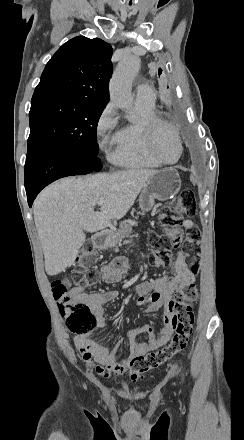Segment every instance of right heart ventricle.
Instances as JSON below:
<instances>
[{
    "label": "right heart ventricle",
    "mask_w": 244,
    "mask_h": 440,
    "mask_svg": "<svg viewBox=\"0 0 244 440\" xmlns=\"http://www.w3.org/2000/svg\"><path fill=\"white\" fill-rule=\"evenodd\" d=\"M134 112L136 119L126 123L118 132L111 135L110 144L114 146L112 159L116 164L127 168H157L161 164L147 145L150 142L147 140V133L152 131L144 128L146 125L149 127L150 122L157 120L155 102L135 100ZM161 132L162 130L159 133ZM121 144L128 146L117 150V146Z\"/></svg>",
    "instance_id": "1"
}]
</instances>
